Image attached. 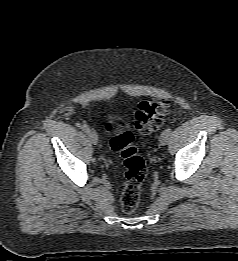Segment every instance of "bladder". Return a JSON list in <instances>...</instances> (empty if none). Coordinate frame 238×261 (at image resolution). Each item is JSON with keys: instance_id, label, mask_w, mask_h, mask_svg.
I'll return each instance as SVG.
<instances>
[{"instance_id": "bladder-1", "label": "bladder", "mask_w": 238, "mask_h": 261, "mask_svg": "<svg viewBox=\"0 0 238 261\" xmlns=\"http://www.w3.org/2000/svg\"><path fill=\"white\" fill-rule=\"evenodd\" d=\"M118 126H120V123H118V122H111L109 124V127H110L111 130H113L114 128H116Z\"/></svg>"}]
</instances>
